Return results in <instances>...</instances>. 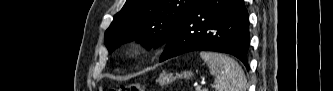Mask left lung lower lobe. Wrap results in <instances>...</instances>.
Masks as SVG:
<instances>
[{
  "label": "left lung lower lobe",
  "instance_id": "1",
  "mask_svg": "<svg viewBox=\"0 0 333 91\" xmlns=\"http://www.w3.org/2000/svg\"><path fill=\"white\" fill-rule=\"evenodd\" d=\"M249 16L243 0H198L167 41L160 62L191 51L234 55L249 69Z\"/></svg>",
  "mask_w": 333,
  "mask_h": 91
}]
</instances>
